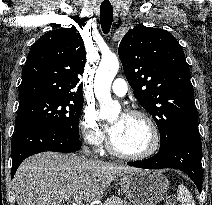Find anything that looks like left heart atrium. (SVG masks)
Returning <instances> with one entry per match:
<instances>
[{
	"instance_id": "1",
	"label": "left heart atrium",
	"mask_w": 212,
	"mask_h": 205,
	"mask_svg": "<svg viewBox=\"0 0 212 205\" xmlns=\"http://www.w3.org/2000/svg\"><path fill=\"white\" fill-rule=\"evenodd\" d=\"M124 116H125V115H122V117H124ZM114 129H115V125H114V124H111L110 127H109V132H110V134L113 133Z\"/></svg>"
}]
</instances>
